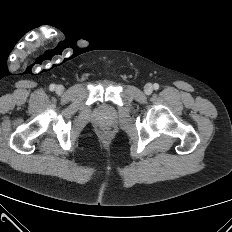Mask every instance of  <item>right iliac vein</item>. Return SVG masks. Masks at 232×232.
<instances>
[{
    "instance_id": "63e3f726",
    "label": "right iliac vein",
    "mask_w": 232,
    "mask_h": 232,
    "mask_svg": "<svg viewBox=\"0 0 232 232\" xmlns=\"http://www.w3.org/2000/svg\"><path fill=\"white\" fill-rule=\"evenodd\" d=\"M64 91V87L62 85H58L56 87V93L61 94Z\"/></svg>"
}]
</instances>
